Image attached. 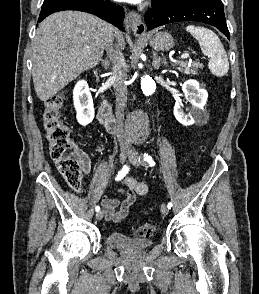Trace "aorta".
Returning a JSON list of instances; mask_svg holds the SVG:
<instances>
[{
    "label": "aorta",
    "mask_w": 259,
    "mask_h": 294,
    "mask_svg": "<svg viewBox=\"0 0 259 294\" xmlns=\"http://www.w3.org/2000/svg\"><path fill=\"white\" fill-rule=\"evenodd\" d=\"M141 89L145 95H152L156 90V83L146 75L141 79ZM126 127L135 139L144 140L149 134V119L144 113H131L127 117Z\"/></svg>",
    "instance_id": "1"
}]
</instances>
